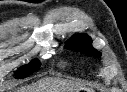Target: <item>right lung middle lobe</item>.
<instances>
[{"instance_id":"dd1d6c3e","label":"right lung middle lobe","mask_w":127,"mask_h":92,"mask_svg":"<svg viewBox=\"0 0 127 92\" xmlns=\"http://www.w3.org/2000/svg\"><path fill=\"white\" fill-rule=\"evenodd\" d=\"M40 65H41L40 61L38 59H35L30 64H28L27 66L22 67L18 71L17 78H25V77H27L28 75H30L33 72H35L40 67Z\"/></svg>"}]
</instances>
